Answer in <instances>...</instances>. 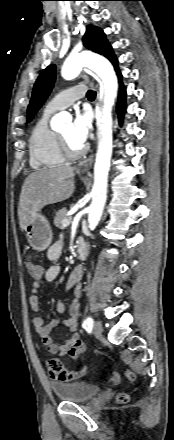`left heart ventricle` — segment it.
I'll return each mask as SVG.
<instances>
[{
    "label": "left heart ventricle",
    "mask_w": 174,
    "mask_h": 440,
    "mask_svg": "<svg viewBox=\"0 0 174 440\" xmlns=\"http://www.w3.org/2000/svg\"><path fill=\"white\" fill-rule=\"evenodd\" d=\"M71 125L67 124L65 125L62 130L60 131V133L65 137V139L67 140L68 144L70 145V147L74 150H78L81 148L80 145L76 144L73 142V140L71 139Z\"/></svg>",
    "instance_id": "obj_1"
}]
</instances>
